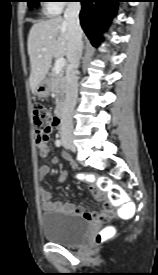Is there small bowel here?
<instances>
[{"label": "small bowel", "mask_w": 158, "mask_h": 275, "mask_svg": "<svg viewBox=\"0 0 158 275\" xmlns=\"http://www.w3.org/2000/svg\"><path fill=\"white\" fill-rule=\"evenodd\" d=\"M58 127V125H57ZM37 147L39 151V155L42 158H45L50 153V147L47 141L40 140L37 138ZM63 157L66 160H70V157L67 154H64ZM58 164V159L54 158L49 165H43L39 168L38 174L39 178L42 180L44 179L52 170L54 166ZM65 173L62 172L60 175L61 180L64 178ZM92 189L94 190V196L96 199L105 201L104 194L98 190L93 184L91 185ZM40 198L41 204L44 211H51V210H59L66 213H74L80 215L88 220H96L99 219V213L97 212H88L82 206H76L72 203H64L62 201H54L52 195L46 191L45 189H40ZM105 205H108V202L105 201Z\"/></svg>", "instance_id": "obj_1"}]
</instances>
